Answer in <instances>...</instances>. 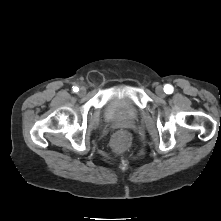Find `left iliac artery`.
<instances>
[{
    "instance_id": "1",
    "label": "left iliac artery",
    "mask_w": 221,
    "mask_h": 221,
    "mask_svg": "<svg viewBox=\"0 0 221 221\" xmlns=\"http://www.w3.org/2000/svg\"><path fill=\"white\" fill-rule=\"evenodd\" d=\"M164 91L166 94H171L173 92V87L170 84L164 86Z\"/></svg>"
}]
</instances>
